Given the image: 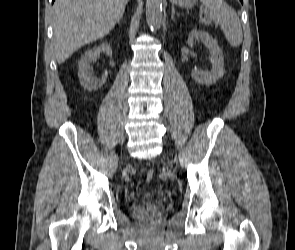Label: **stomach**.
Instances as JSON below:
<instances>
[{
  "mask_svg": "<svg viewBox=\"0 0 295 250\" xmlns=\"http://www.w3.org/2000/svg\"><path fill=\"white\" fill-rule=\"evenodd\" d=\"M170 2L181 7L191 8L196 3V0H170Z\"/></svg>",
  "mask_w": 295,
  "mask_h": 250,
  "instance_id": "stomach-1",
  "label": "stomach"
}]
</instances>
